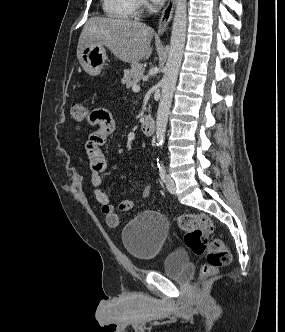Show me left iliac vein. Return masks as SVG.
<instances>
[{
    "label": "left iliac vein",
    "instance_id": "4c4485c4",
    "mask_svg": "<svg viewBox=\"0 0 285 332\" xmlns=\"http://www.w3.org/2000/svg\"><path fill=\"white\" fill-rule=\"evenodd\" d=\"M166 187L171 194H175L176 191L175 181L170 175L166 176Z\"/></svg>",
    "mask_w": 285,
    "mask_h": 332
}]
</instances>
